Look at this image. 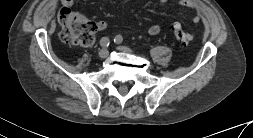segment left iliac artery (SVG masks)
Wrapping results in <instances>:
<instances>
[{
  "label": "left iliac artery",
  "mask_w": 253,
  "mask_h": 138,
  "mask_svg": "<svg viewBox=\"0 0 253 138\" xmlns=\"http://www.w3.org/2000/svg\"><path fill=\"white\" fill-rule=\"evenodd\" d=\"M114 42L120 44L123 42V37L121 35H117L114 39Z\"/></svg>",
  "instance_id": "1"
}]
</instances>
